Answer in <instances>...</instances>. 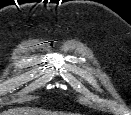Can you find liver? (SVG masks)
<instances>
[{
	"label": "liver",
	"mask_w": 131,
	"mask_h": 115,
	"mask_svg": "<svg viewBox=\"0 0 131 115\" xmlns=\"http://www.w3.org/2000/svg\"><path fill=\"white\" fill-rule=\"evenodd\" d=\"M2 115H48L47 112L28 108H16L3 112Z\"/></svg>",
	"instance_id": "1"
}]
</instances>
